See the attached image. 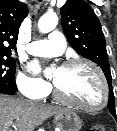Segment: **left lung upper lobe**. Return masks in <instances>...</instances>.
<instances>
[{
  "label": "left lung upper lobe",
  "mask_w": 117,
  "mask_h": 131,
  "mask_svg": "<svg viewBox=\"0 0 117 131\" xmlns=\"http://www.w3.org/2000/svg\"><path fill=\"white\" fill-rule=\"evenodd\" d=\"M60 12L62 27L70 46L104 71L109 86L108 108L117 121L106 42L99 19L82 0H67Z\"/></svg>",
  "instance_id": "1"
}]
</instances>
